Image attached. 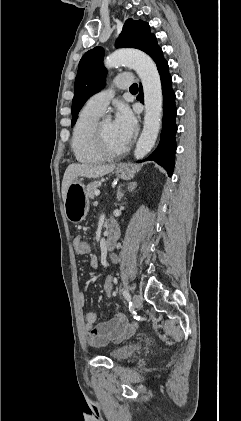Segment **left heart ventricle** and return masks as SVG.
I'll list each match as a JSON object with an SVG mask.
<instances>
[{
	"label": "left heart ventricle",
	"mask_w": 241,
	"mask_h": 421,
	"mask_svg": "<svg viewBox=\"0 0 241 421\" xmlns=\"http://www.w3.org/2000/svg\"><path fill=\"white\" fill-rule=\"evenodd\" d=\"M102 127L105 141L110 149L119 150L126 145L117 134L112 121H103Z\"/></svg>",
	"instance_id": "left-heart-ventricle-1"
}]
</instances>
